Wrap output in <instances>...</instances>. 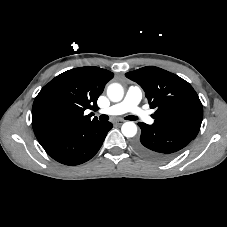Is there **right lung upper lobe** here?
<instances>
[{
    "instance_id": "obj_1",
    "label": "right lung upper lobe",
    "mask_w": 227,
    "mask_h": 227,
    "mask_svg": "<svg viewBox=\"0 0 227 227\" xmlns=\"http://www.w3.org/2000/svg\"><path fill=\"white\" fill-rule=\"evenodd\" d=\"M113 76L106 69L86 66L68 70L45 85L32 107V126L39 143L46 146L67 131L98 123L84 111L97 109V99Z\"/></svg>"
}]
</instances>
